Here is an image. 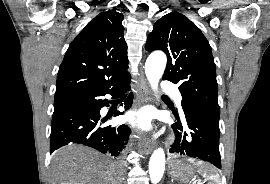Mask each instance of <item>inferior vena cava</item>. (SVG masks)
I'll return each mask as SVG.
<instances>
[{
  "instance_id": "obj_1",
  "label": "inferior vena cava",
  "mask_w": 270,
  "mask_h": 184,
  "mask_svg": "<svg viewBox=\"0 0 270 184\" xmlns=\"http://www.w3.org/2000/svg\"><path fill=\"white\" fill-rule=\"evenodd\" d=\"M122 165L121 164H118V171L120 172L122 170Z\"/></svg>"
}]
</instances>
